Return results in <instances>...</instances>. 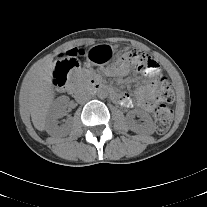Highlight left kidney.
<instances>
[{
    "label": "left kidney",
    "instance_id": "1",
    "mask_svg": "<svg viewBox=\"0 0 207 207\" xmlns=\"http://www.w3.org/2000/svg\"><path fill=\"white\" fill-rule=\"evenodd\" d=\"M134 113H137L141 117V119L144 121V123L142 124L136 123L133 119ZM127 119L129 122L130 129L135 133L143 134V135H151L155 131V124L151 116L145 111L138 110L135 112H130L127 115Z\"/></svg>",
    "mask_w": 207,
    "mask_h": 207
}]
</instances>
